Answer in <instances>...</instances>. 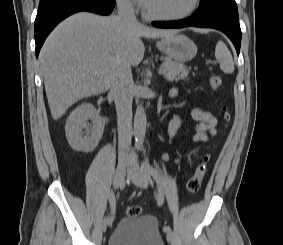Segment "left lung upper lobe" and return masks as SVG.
Returning <instances> with one entry per match:
<instances>
[{
	"label": "left lung upper lobe",
	"mask_w": 283,
	"mask_h": 245,
	"mask_svg": "<svg viewBox=\"0 0 283 245\" xmlns=\"http://www.w3.org/2000/svg\"><path fill=\"white\" fill-rule=\"evenodd\" d=\"M193 15L199 18L221 19L239 24L235 0H201L198 10Z\"/></svg>",
	"instance_id": "obj_1"
}]
</instances>
